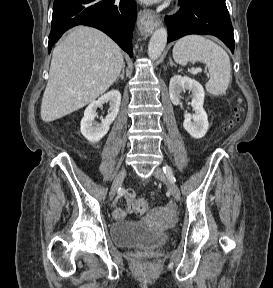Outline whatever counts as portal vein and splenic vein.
Segmentation results:
<instances>
[{
  "mask_svg": "<svg viewBox=\"0 0 273 288\" xmlns=\"http://www.w3.org/2000/svg\"><path fill=\"white\" fill-rule=\"evenodd\" d=\"M198 71H201V70H200V69H198V68H197V69H193V70H192V72H193V73H197Z\"/></svg>",
  "mask_w": 273,
  "mask_h": 288,
  "instance_id": "obj_1",
  "label": "portal vein and splenic vein"
}]
</instances>
